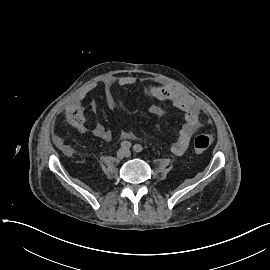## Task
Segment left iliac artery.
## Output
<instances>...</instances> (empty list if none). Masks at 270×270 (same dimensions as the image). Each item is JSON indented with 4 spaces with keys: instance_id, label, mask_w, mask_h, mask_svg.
Segmentation results:
<instances>
[{
    "instance_id": "1",
    "label": "left iliac artery",
    "mask_w": 270,
    "mask_h": 270,
    "mask_svg": "<svg viewBox=\"0 0 270 270\" xmlns=\"http://www.w3.org/2000/svg\"><path fill=\"white\" fill-rule=\"evenodd\" d=\"M142 146L140 145V144H135L134 146H133V150L135 151V152H137V153H139V152H141L142 151Z\"/></svg>"
}]
</instances>
